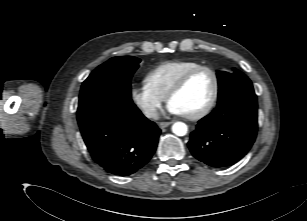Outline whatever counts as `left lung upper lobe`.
Segmentation results:
<instances>
[{"label": "left lung upper lobe", "mask_w": 307, "mask_h": 221, "mask_svg": "<svg viewBox=\"0 0 307 221\" xmlns=\"http://www.w3.org/2000/svg\"><path fill=\"white\" fill-rule=\"evenodd\" d=\"M219 83L218 105L241 95H254V89L249 78L236 70L233 74L217 72Z\"/></svg>", "instance_id": "5c2ea615"}]
</instances>
